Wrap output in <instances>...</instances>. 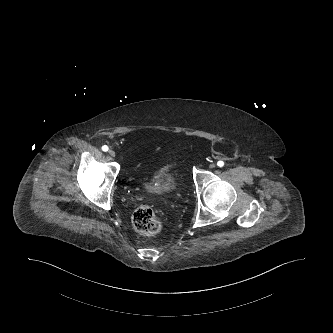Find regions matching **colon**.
Instances as JSON below:
<instances>
[{"label":"colon","mask_w":333,"mask_h":333,"mask_svg":"<svg viewBox=\"0 0 333 333\" xmlns=\"http://www.w3.org/2000/svg\"><path fill=\"white\" fill-rule=\"evenodd\" d=\"M134 228L143 235L153 236L162 229V222L154 211L147 206L137 208L132 215Z\"/></svg>","instance_id":"colon-1"}]
</instances>
